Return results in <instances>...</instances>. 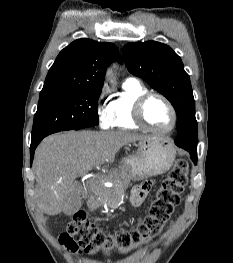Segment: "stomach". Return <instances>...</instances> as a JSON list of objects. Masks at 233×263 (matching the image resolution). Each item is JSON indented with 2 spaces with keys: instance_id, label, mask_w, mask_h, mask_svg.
<instances>
[{
  "instance_id": "1",
  "label": "stomach",
  "mask_w": 233,
  "mask_h": 263,
  "mask_svg": "<svg viewBox=\"0 0 233 263\" xmlns=\"http://www.w3.org/2000/svg\"><path fill=\"white\" fill-rule=\"evenodd\" d=\"M175 155L174 146L167 138L149 136L138 143L134 155L124 160L121 172L128 181L156 176L171 168Z\"/></svg>"
}]
</instances>
